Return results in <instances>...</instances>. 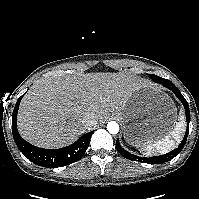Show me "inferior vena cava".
Segmentation results:
<instances>
[{"instance_id": "602c4592", "label": "inferior vena cava", "mask_w": 199, "mask_h": 199, "mask_svg": "<svg viewBox=\"0 0 199 199\" xmlns=\"http://www.w3.org/2000/svg\"><path fill=\"white\" fill-rule=\"evenodd\" d=\"M82 123L87 125V126H93L94 124H96V121H95L94 117L87 115L82 120Z\"/></svg>"}]
</instances>
